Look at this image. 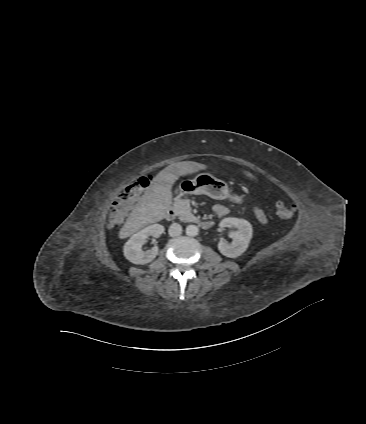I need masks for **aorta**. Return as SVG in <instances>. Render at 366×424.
<instances>
[{
  "instance_id": "1",
  "label": "aorta",
  "mask_w": 366,
  "mask_h": 424,
  "mask_svg": "<svg viewBox=\"0 0 366 424\" xmlns=\"http://www.w3.org/2000/svg\"><path fill=\"white\" fill-rule=\"evenodd\" d=\"M199 233V229L196 225H188L186 227V235L188 236H196Z\"/></svg>"
}]
</instances>
